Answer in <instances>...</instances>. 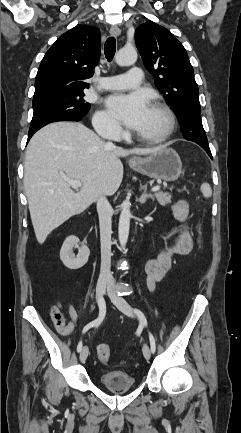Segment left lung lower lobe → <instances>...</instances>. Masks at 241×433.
I'll return each instance as SVG.
<instances>
[{"mask_svg":"<svg viewBox=\"0 0 241 433\" xmlns=\"http://www.w3.org/2000/svg\"><path fill=\"white\" fill-rule=\"evenodd\" d=\"M202 148H204L206 150V152L208 153V155L212 158L210 148L208 146H202Z\"/></svg>","mask_w":241,"mask_h":433,"instance_id":"1","label":"left lung lower lobe"}]
</instances>
